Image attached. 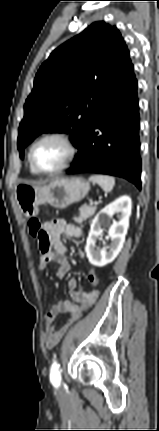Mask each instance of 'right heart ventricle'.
Segmentation results:
<instances>
[{
    "label": "right heart ventricle",
    "instance_id": "1",
    "mask_svg": "<svg viewBox=\"0 0 159 431\" xmlns=\"http://www.w3.org/2000/svg\"><path fill=\"white\" fill-rule=\"evenodd\" d=\"M30 170L33 174H36V172L30 167Z\"/></svg>",
    "mask_w": 159,
    "mask_h": 431
}]
</instances>
